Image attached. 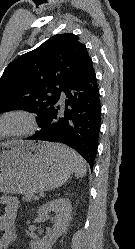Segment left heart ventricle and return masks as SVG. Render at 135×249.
<instances>
[{
    "mask_svg": "<svg viewBox=\"0 0 135 249\" xmlns=\"http://www.w3.org/2000/svg\"><path fill=\"white\" fill-rule=\"evenodd\" d=\"M16 124L12 121H5L3 123H0V132H3V131H6V130H9L13 127H15Z\"/></svg>",
    "mask_w": 135,
    "mask_h": 249,
    "instance_id": "1",
    "label": "left heart ventricle"
}]
</instances>
